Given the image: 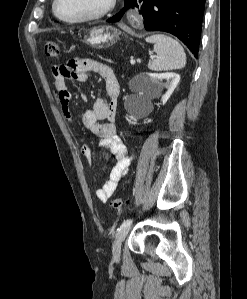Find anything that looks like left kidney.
Masks as SVG:
<instances>
[{
  "label": "left kidney",
  "mask_w": 247,
  "mask_h": 299,
  "mask_svg": "<svg viewBox=\"0 0 247 299\" xmlns=\"http://www.w3.org/2000/svg\"><path fill=\"white\" fill-rule=\"evenodd\" d=\"M162 80H166V82L161 83ZM179 81H180V75L173 72L149 74L144 82V89L145 91L150 92L158 89L159 87L167 88V91L162 98L163 103H165L172 95ZM140 110L141 108L138 107L135 110H133L132 113L137 114V111ZM128 122L132 123L130 120H128ZM149 122H151V119L144 121V123H149Z\"/></svg>",
  "instance_id": "left-kidney-1"
}]
</instances>
